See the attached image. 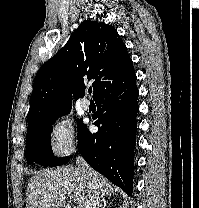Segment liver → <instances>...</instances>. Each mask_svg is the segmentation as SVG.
<instances>
[{"instance_id": "obj_1", "label": "liver", "mask_w": 199, "mask_h": 208, "mask_svg": "<svg viewBox=\"0 0 199 208\" xmlns=\"http://www.w3.org/2000/svg\"><path fill=\"white\" fill-rule=\"evenodd\" d=\"M103 196L114 193L113 185L102 175L94 172ZM89 180L74 166L55 170L44 169L35 173L27 187V208H64L66 199L72 195L75 208H85L88 199Z\"/></svg>"}]
</instances>
